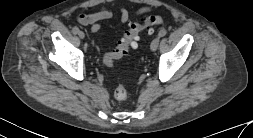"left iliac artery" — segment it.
<instances>
[{"label": "left iliac artery", "instance_id": "44dca946", "mask_svg": "<svg viewBox=\"0 0 253 138\" xmlns=\"http://www.w3.org/2000/svg\"><path fill=\"white\" fill-rule=\"evenodd\" d=\"M166 33H167L166 29H161V30L159 31V33H158V37H159V38H160V37H163V36L166 35Z\"/></svg>", "mask_w": 253, "mask_h": 138}]
</instances>
